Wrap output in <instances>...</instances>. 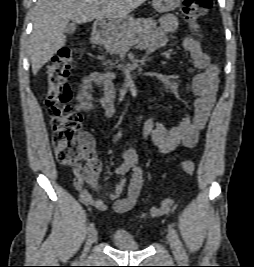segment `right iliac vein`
Segmentation results:
<instances>
[{
  "instance_id": "right-iliac-vein-1",
  "label": "right iliac vein",
  "mask_w": 254,
  "mask_h": 267,
  "mask_svg": "<svg viewBox=\"0 0 254 267\" xmlns=\"http://www.w3.org/2000/svg\"><path fill=\"white\" fill-rule=\"evenodd\" d=\"M96 238H97V230L93 228L87 237V241H86L85 248L82 254V258L86 257L90 246L95 242Z\"/></svg>"
}]
</instances>
